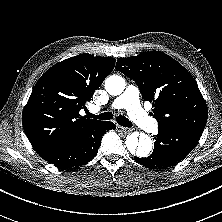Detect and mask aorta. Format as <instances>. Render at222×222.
<instances>
[{
	"instance_id": "aorta-1",
	"label": "aorta",
	"mask_w": 222,
	"mask_h": 222,
	"mask_svg": "<svg viewBox=\"0 0 222 222\" xmlns=\"http://www.w3.org/2000/svg\"><path fill=\"white\" fill-rule=\"evenodd\" d=\"M125 86V80L121 76L112 75L105 80V89L110 95L121 94ZM125 144L132 155L140 158L147 157L153 146L151 138L144 133L128 135Z\"/></svg>"
}]
</instances>
